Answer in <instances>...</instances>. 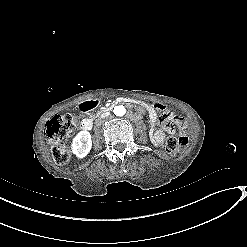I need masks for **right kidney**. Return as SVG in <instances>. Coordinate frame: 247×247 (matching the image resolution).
<instances>
[{"mask_svg":"<svg viewBox=\"0 0 247 247\" xmlns=\"http://www.w3.org/2000/svg\"><path fill=\"white\" fill-rule=\"evenodd\" d=\"M92 149L91 134L88 131H80L72 139L71 150L78 158L86 157Z\"/></svg>","mask_w":247,"mask_h":247,"instance_id":"obj_1","label":"right kidney"}]
</instances>
